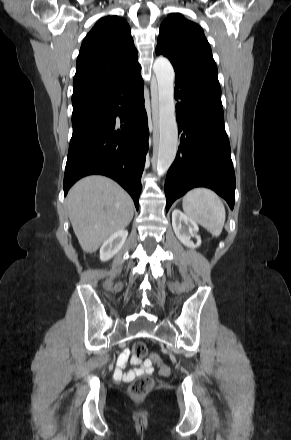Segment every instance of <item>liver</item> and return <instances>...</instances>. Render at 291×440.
<instances>
[{"label": "liver", "mask_w": 291, "mask_h": 440, "mask_svg": "<svg viewBox=\"0 0 291 440\" xmlns=\"http://www.w3.org/2000/svg\"><path fill=\"white\" fill-rule=\"evenodd\" d=\"M69 218L84 252L94 253L112 234L125 228L133 218L130 195L104 176L79 180L66 199Z\"/></svg>", "instance_id": "liver-1"}]
</instances>
